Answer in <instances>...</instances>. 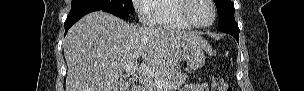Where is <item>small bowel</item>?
Listing matches in <instances>:
<instances>
[{
    "label": "small bowel",
    "instance_id": "small-bowel-1",
    "mask_svg": "<svg viewBox=\"0 0 304 91\" xmlns=\"http://www.w3.org/2000/svg\"><path fill=\"white\" fill-rule=\"evenodd\" d=\"M184 90H186V91H207L208 87H207V84L201 83V84L188 86Z\"/></svg>",
    "mask_w": 304,
    "mask_h": 91
}]
</instances>
